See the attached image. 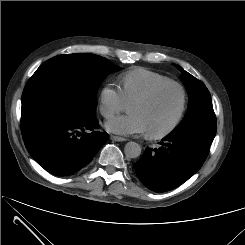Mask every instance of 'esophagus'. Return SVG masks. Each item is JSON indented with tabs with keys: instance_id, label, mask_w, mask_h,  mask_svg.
Here are the masks:
<instances>
[{
	"instance_id": "1",
	"label": "esophagus",
	"mask_w": 245,
	"mask_h": 245,
	"mask_svg": "<svg viewBox=\"0 0 245 245\" xmlns=\"http://www.w3.org/2000/svg\"><path fill=\"white\" fill-rule=\"evenodd\" d=\"M110 139L113 140V141H117V142H123V141L127 140L126 138L115 136V135H111Z\"/></svg>"
}]
</instances>
